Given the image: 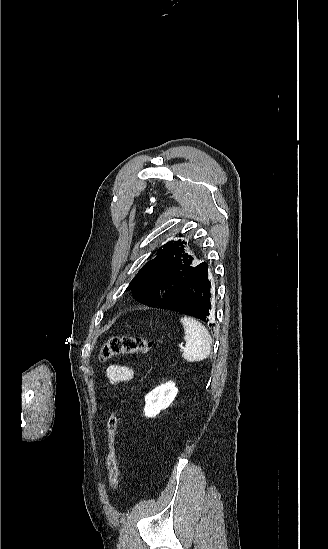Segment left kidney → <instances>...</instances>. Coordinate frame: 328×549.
<instances>
[{
  "mask_svg": "<svg viewBox=\"0 0 328 549\" xmlns=\"http://www.w3.org/2000/svg\"><path fill=\"white\" fill-rule=\"evenodd\" d=\"M177 393L178 389L172 381L153 389V391L148 393L145 397V417H156L162 409H167V407L173 403Z\"/></svg>",
  "mask_w": 328,
  "mask_h": 549,
  "instance_id": "obj_1",
  "label": "left kidney"
}]
</instances>
